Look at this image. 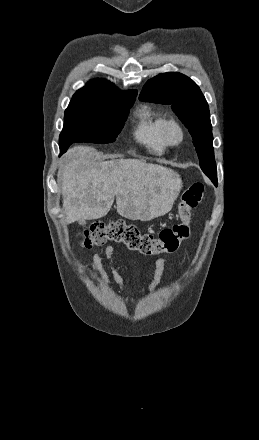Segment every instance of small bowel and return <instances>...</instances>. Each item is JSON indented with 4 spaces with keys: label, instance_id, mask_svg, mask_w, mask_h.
Segmentation results:
<instances>
[{
    "label": "small bowel",
    "instance_id": "1",
    "mask_svg": "<svg viewBox=\"0 0 259 440\" xmlns=\"http://www.w3.org/2000/svg\"><path fill=\"white\" fill-rule=\"evenodd\" d=\"M104 256L109 264L113 282L121 289H125V282H124L123 278L121 277V275L116 270L115 265H114V247L112 245H107L105 247ZM91 268L97 273L100 281L103 284H105L107 286L112 285V280L107 275V273L103 270L102 259L98 253H94V255L92 257ZM169 269H170L169 265L165 259L160 258L156 261L155 269H154V273H153V278H152V281L148 287L149 292H153L156 289V287L161 282L163 273L165 271H168Z\"/></svg>",
    "mask_w": 259,
    "mask_h": 440
}]
</instances>
